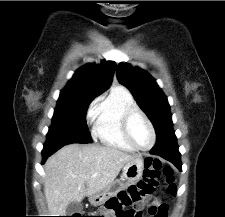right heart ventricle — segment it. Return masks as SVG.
I'll return each instance as SVG.
<instances>
[{
	"mask_svg": "<svg viewBox=\"0 0 225 217\" xmlns=\"http://www.w3.org/2000/svg\"><path fill=\"white\" fill-rule=\"evenodd\" d=\"M135 106L133 95L122 86L114 87L98 104L94 111V134L104 146L130 153L135 151L122 133V117Z\"/></svg>",
	"mask_w": 225,
	"mask_h": 217,
	"instance_id": "right-heart-ventricle-1",
	"label": "right heart ventricle"
}]
</instances>
